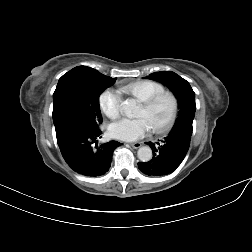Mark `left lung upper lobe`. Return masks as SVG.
<instances>
[{"label":"left lung upper lobe","mask_w":252,"mask_h":252,"mask_svg":"<svg viewBox=\"0 0 252 252\" xmlns=\"http://www.w3.org/2000/svg\"><path fill=\"white\" fill-rule=\"evenodd\" d=\"M148 79L163 83L176 96L178 100L179 116L176 119L175 125L184 120L193 122L196 110L195 93L188 81L170 71L152 73L149 75Z\"/></svg>","instance_id":"left-lung-upper-lobe-1"}]
</instances>
